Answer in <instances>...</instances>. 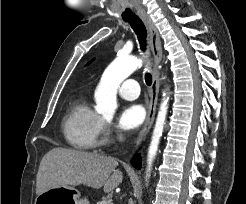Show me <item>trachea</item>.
Returning a JSON list of instances; mask_svg holds the SVG:
<instances>
[{
    "mask_svg": "<svg viewBox=\"0 0 246 204\" xmlns=\"http://www.w3.org/2000/svg\"><path fill=\"white\" fill-rule=\"evenodd\" d=\"M125 21L130 24V26L132 27V29L136 33L138 40H139V43H140V48L143 52H145L146 46H147V39H146L147 38V32H146V28H145L143 22L138 17L131 18V19H128ZM145 82L148 86H150L152 84V76L150 73L145 74Z\"/></svg>",
    "mask_w": 246,
    "mask_h": 204,
    "instance_id": "3493384b",
    "label": "trachea"
}]
</instances>
